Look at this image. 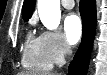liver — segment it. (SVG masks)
I'll return each instance as SVG.
<instances>
[{
    "mask_svg": "<svg viewBox=\"0 0 107 75\" xmlns=\"http://www.w3.org/2000/svg\"><path fill=\"white\" fill-rule=\"evenodd\" d=\"M18 75H31L28 72H21ZM48 75H58V74H48Z\"/></svg>",
    "mask_w": 107,
    "mask_h": 75,
    "instance_id": "liver-1",
    "label": "liver"
}]
</instances>
